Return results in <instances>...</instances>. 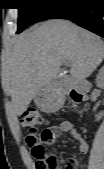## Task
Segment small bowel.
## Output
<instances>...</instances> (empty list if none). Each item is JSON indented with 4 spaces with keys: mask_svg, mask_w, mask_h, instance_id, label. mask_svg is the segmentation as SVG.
<instances>
[{
    "mask_svg": "<svg viewBox=\"0 0 104 169\" xmlns=\"http://www.w3.org/2000/svg\"><path fill=\"white\" fill-rule=\"evenodd\" d=\"M57 130H58V133H60V132H69L70 135H71L72 140L77 143L78 150L80 151V153L85 154V153L88 152V150H89L88 143L86 142V140L83 137V135L76 131V129L74 127V124L72 122H70V121L61 122L57 126ZM56 137L50 138V139H46L45 143H52L55 140Z\"/></svg>",
    "mask_w": 104,
    "mask_h": 169,
    "instance_id": "c3829d8e",
    "label": "small bowel"
}]
</instances>
